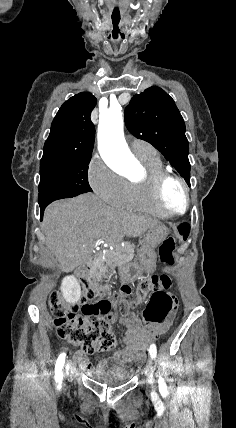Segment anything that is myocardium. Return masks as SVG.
<instances>
[{"label": "myocardium", "instance_id": "myocardium-1", "mask_svg": "<svg viewBox=\"0 0 236 428\" xmlns=\"http://www.w3.org/2000/svg\"><path fill=\"white\" fill-rule=\"evenodd\" d=\"M176 182L181 186L185 196L184 206L181 209L170 206L165 199V188L168 183ZM150 190L154 203L164 213L175 216L185 213L191 203V193L187 182L180 176L169 171H162L151 178Z\"/></svg>", "mask_w": 236, "mask_h": 428}]
</instances>
